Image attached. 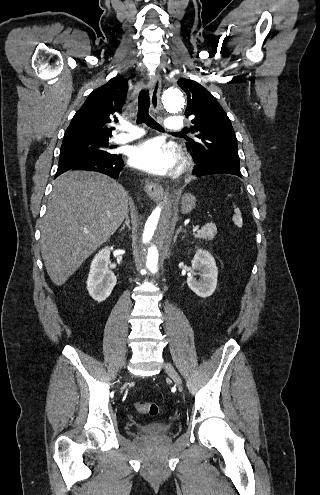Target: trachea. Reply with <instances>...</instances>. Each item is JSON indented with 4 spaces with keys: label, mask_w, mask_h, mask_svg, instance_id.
Wrapping results in <instances>:
<instances>
[{
    "label": "trachea",
    "mask_w": 320,
    "mask_h": 495,
    "mask_svg": "<svg viewBox=\"0 0 320 495\" xmlns=\"http://www.w3.org/2000/svg\"><path fill=\"white\" fill-rule=\"evenodd\" d=\"M149 107L150 103L148 90H142L138 98L137 123H145L153 129L164 132V128L150 117Z\"/></svg>",
    "instance_id": "3493384b"
}]
</instances>
